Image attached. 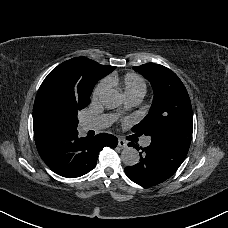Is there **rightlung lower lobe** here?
I'll use <instances>...</instances> for the list:
<instances>
[{
    "mask_svg": "<svg viewBox=\"0 0 228 228\" xmlns=\"http://www.w3.org/2000/svg\"><path fill=\"white\" fill-rule=\"evenodd\" d=\"M35 143L41 158L52 171L75 178L91 171L96 166L99 151L105 146L115 148L118 140L107 133L83 138L78 136L76 129L35 138Z\"/></svg>",
    "mask_w": 228,
    "mask_h": 228,
    "instance_id": "right-lung-lower-lobe-1",
    "label": "right lung lower lobe"
}]
</instances>
